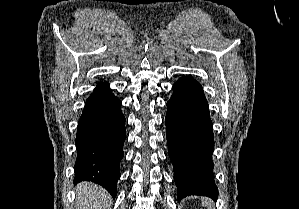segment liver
Here are the masks:
<instances>
[{
  "label": "liver",
  "mask_w": 299,
  "mask_h": 209,
  "mask_svg": "<svg viewBox=\"0 0 299 209\" xmlns=\"http://www.w3.org/2000/svg\"><path fill=\"white\" fill-rule=\"evenodd\" d=\"M110 196L100 186L81 183L77 186L78 209H109Z\"/></svg>",
  "instance_id": "1"
}]
</instances>
